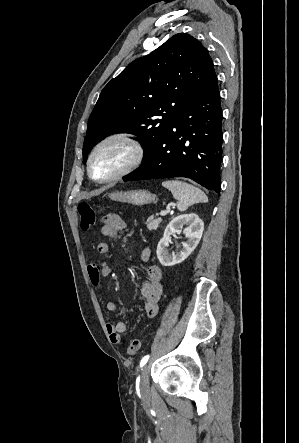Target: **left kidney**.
Here are the masks:
<instances>
[{"label": "left kidney", "mask_w": 299, "mask_h": 443, "mask_svg": "<svg viewBox=\"0 0 299 443\" xmlns=\"http://www.w3.org/2000/svg\"><path fill=\"white\" fill-rule=\"evenodd\" d=\"M184 225L183 230L187 241L182 243V249L178 252L169 254L168 246L171 242V235L179 231ZM204 231V223L197 214H183L171 220L167 225L164 235L157 246V257L163 266H173L184 261L199 244Z\"/></svg>", "instance_id": "obj_1"}]
</instances>
